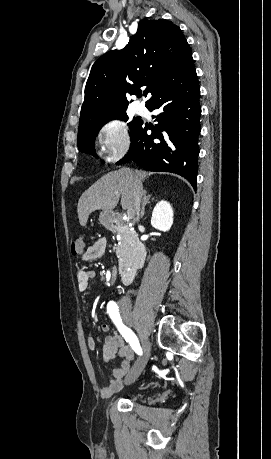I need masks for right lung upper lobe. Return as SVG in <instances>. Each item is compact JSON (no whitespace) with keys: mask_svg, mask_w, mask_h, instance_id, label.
Wrapping results in <instances>:
<instances>
[{"mask_svg":"<svg viewBox=\"0 0 271 459\" xmlns=\"http://www.w3.org/2000/svg\"><path fill=\"white\" fill-rule=\"evenodd\" d=\"M194 71L190 46L177 25L166 19L142 20L123 50L107 52L93 64L80 122L123 113L126 93L138 96L143 87L153 96ZM111 102L113 111L107 105Z\"/></svg>","mask_w":271,"mask_h":459,"instance_id":"cb5924a9","label":"right lung upper lobe"}]
</instances>
